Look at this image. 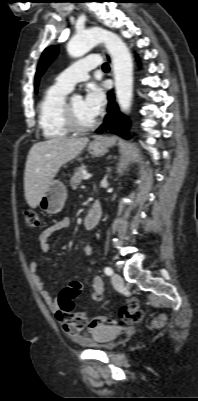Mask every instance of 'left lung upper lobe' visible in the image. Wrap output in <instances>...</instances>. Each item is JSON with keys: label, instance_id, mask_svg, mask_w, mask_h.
<instances>
[{"label": "left lung upper lobe", "instance_id": "left-lung-upper-lobe-1", "mask_svg": "<svg viewBox=\"0 0 198 401\" xmlns=\"http://www.w3.org/2000/svg\"><path fill=\"white\" fill-rule=\"evenodd\" d=\"M58 54V47L57 46H50L46 48L40 58L38 69L36 72V77H35V89L37 90L38 83H39V78L40 76L44 73L48 65L52 62V60L57 56Z\"/></svg>", "mask_w": 198, "mask_h": 401}]
</instances>
